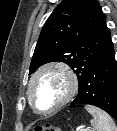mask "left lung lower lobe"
<instances>
[{
	"instance_id": "0a47b994",
	"label": "left lung lower lobe",
	"mask_w": 117,
	"mask_h": 131,
	"mask_svg": "<svg viewBox=\"0 0 117 131\" xmlns=\"http://www.w3.org/2000/svg\"><path fill=\"white\" fill-rule=\"evenodd\" d=\"M74 104L97 106L117 120V63L112 41L79 84L78 94L71 105Z\"/></svg>"
}]
</instances>
